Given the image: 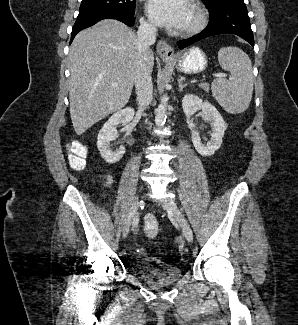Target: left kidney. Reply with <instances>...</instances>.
Segmentation results:
<instances>
[{"mask_svg": "<svg viewBox=\"0 0 298 325\" xmlns=\"http://www.w3.org/2000/svg\"><path fill=\"white\" fill-rule=\"evenodd\" d=\"M182 108L187 118L186 122L188 128H191V138L197 152L202 154V156H211V154H214L215 150L220 148L222 144L227 122H225L223 116H221L214 104H211L208 100H203V98H200L197 94H184L182 98ZM197 110H202L204 120H207L212 126L211 138L208 140L207 144H202L200 134L198 130H195L196 126L194 122L190 120L192 114H195Z\"/></svg>", "mask_w": 298, "mask_h": 325, "instance_id": "5707ae66", "label": "left kidney"}]
</instances>
